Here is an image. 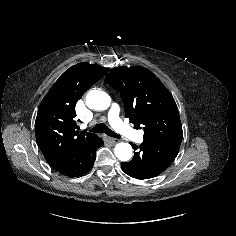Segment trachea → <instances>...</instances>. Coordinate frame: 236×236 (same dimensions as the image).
<instances>
[{
  "mask_svg": "<svg viewBox=\"0 0 236 236\" xmlns=\"http://www.w3.org/2000/svg\"><path fill=\"white\" fill-rule=\"evenodd\" d=\"M90 132L94 133H105L108 136L114 137V138H120V135L109 129L105 124L100 123L97 124L95 127H93Z\"/></svg>",
  "mask_w": 236,
  "mask_h": 236,
  "instance_id": "obj_1",
  "label": "trachea"
}]
</instances>
